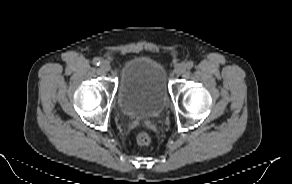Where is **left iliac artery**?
Returning <instances> with one entry per match:
<instances>
[{
  "instance_id": "obj_1",
  "label": "left iliac artery",
  "mask_w": 292,
  "mask_h": 184,
  "mask_svg": "<svg viewBox=\"0 0 292 184\" xmlns=\"http://www.w3.org/2000/svg\"><path fill=\"white\" fill-rule=\"evenodd\" d=\"M193 62L192 61H188L187 63H186V68L187 69H191L192 67H193Z\"/></svg>"
}]
</instances>
